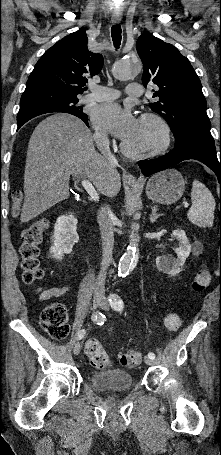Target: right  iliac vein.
<instances>
[{"label": "right iliac vein", "mask_w": 221, "mask_h": 455, "mask_svg": "<svg viewBox=\"0 0 221 455\" xmlns=\"http://www.w3.org/2000/svg\"><path fill=\"white\" fill-rule=\"evenodd\" d=\"M103 301V297L100 295H95L93 297V305L95 307L99 306ZM81 345L79 342H76L73 347V353L74 355H78L80 353Z\"/></svg>", "instance_id": "1"}]
</instances>
